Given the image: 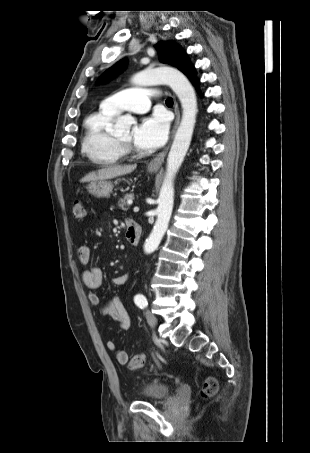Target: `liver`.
Instances as JSON below:
<instances>
[{"label": "liver", "mask_w": 310, "mask_h": 453, "mask_svg": "<svg viewBox=\"0 0 310 453\" xmlns=\"http://www.w3.org/2000/svg\"><path fill=\"white\" fill-rule=\"evenodd\" d=\"M137 167L136 164L134 165H125V166H109L102 169H99L96 172H90L86 176H84L80 182H94L98 180H106L115 178L118 176H122L125 174L131 173Z\"/></svg>", "instance_id": "obj_1"}]
</instances>
